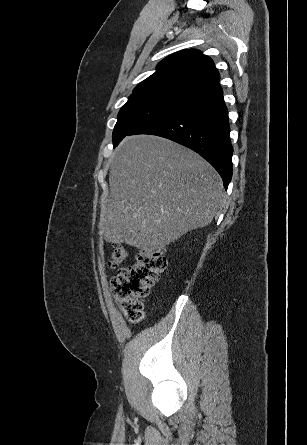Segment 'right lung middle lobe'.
<instances>
[{
    "mask_svg": "<svg viewBox=\"0 0 307 445\" xmlns=\"http://www.w3.org/2000/svg\"><path fill=\"white\" fill-rule=\"evenodd\" d=\"M184 99L161 95L130 96L120 109L113 131V143H118L135 128L179 106Z\"/></svg>",
    "mask_w": 307,
    "mask_h": 445,
    "instance_id": "1",
    "label": "right lung middle lobe"
}]
</instances>
